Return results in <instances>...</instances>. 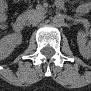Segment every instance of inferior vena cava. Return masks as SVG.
I'll return each instance as SVG.
<instances>
[{"instance_id":"inferior-vena-cava-1","label":"inferior vena cava","mask_w":91,"mask_h":91,"mask_svg":"<svg viewBox=\"0 0 91 91\" xmlns=\"http://www.w3.org/2000/svg\"><path fill=\"white\" fill-rule=\"evenodd\" d=\"M42 20H43V16H42V15L37 16L35 19L32 20L31 24H32L33 26H35V25H37V24H38L40 21H42Z\"/></svg>"}]
</instances>
